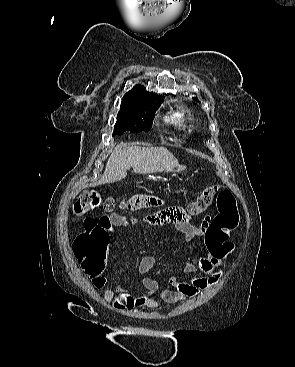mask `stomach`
Wrapping results in <instances>:
<instances>
[{
    "instance_id": "stomach-1",
    "label": "stomach",
    "mask_w": 295,
    "mask_h": 367,
    "mask_svg": "<svg viewBox=\"0 0 295 367\" xmlns=\"http://www.w3.org/2000/svg\"><path fill=\"white\" fill-rule=\"evenodd\" d=\"M185 170V167H176L175 169H173V172H181V171H184Z\"/></svg>"
}]
</instances>
